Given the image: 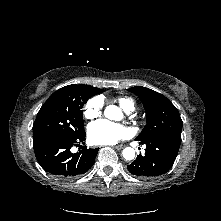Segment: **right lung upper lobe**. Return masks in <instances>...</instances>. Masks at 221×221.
<instances>
[{
	"label": "right lung upper lobe",
	"instance_id": "right-lung-upper-lobe-1",
	"mask_svg": "<svg viewBox=\"0 0 221 221\" xmlns=\"http://www.w3.org/2000/svg\"><path fill=\"white\" fill-rule=\"evenodd\" d=\"M81 88L90 96H94L96 94L102 93V89L93 87V86H89V85H81Z\"/></svg>",
	"mask_w": 221,
	"mask_h": 221
}]
</instances>
